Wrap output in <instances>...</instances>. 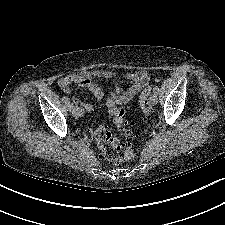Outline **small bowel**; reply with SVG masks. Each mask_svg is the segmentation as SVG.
Segmentation results:
<instances>
[{"instance_id": "obj_1", "label": "small bowel", "mask_w": 225, "mask_h": 225, "mask_svg": "<svg viewBox=\"0 0 225 225\" xmlns=\"http://www.w3.org/2000/svg\"><path fill=\"white\" fill-rule=\"evenodd\" d=\"M117 76V73L112 70L94 69L87 72L65 75L58 80V86L64 92L69 93L70 86L76 84L90 91L96 99H102L104 91L97 81L100 79L116 80ZM124 78L129 81V86L122 88L117 85L110 91L106 100L108 109L127 104L148 84V75L144 71L127 72L124 74ZM74 101L80 106V113L83 114L91 111V107L88 103L77 98H74Z\"/></svg>"}]
</instances>
